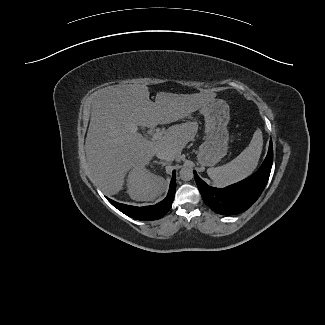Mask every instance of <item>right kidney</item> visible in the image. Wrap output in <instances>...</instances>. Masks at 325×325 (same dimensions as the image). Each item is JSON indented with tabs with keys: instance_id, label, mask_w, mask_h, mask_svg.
<instances>
[{
	"instance_id": "ca27d5eb",
	"label": "right kidney",
	"mask_w": 325,
	"mask_h": 325,
	"mask_svg": "<svg viewBox=\"0 0 325 325\" xmlns=\"http://www.w3.org/2000/svg\"><path fill=\"white\" fill-rule=\"evenodd\" d=\"M165 188V180L143 169L133 170L128 176V193L137 201H151L157 198Z\"/></svg>"
}]
</instances>
